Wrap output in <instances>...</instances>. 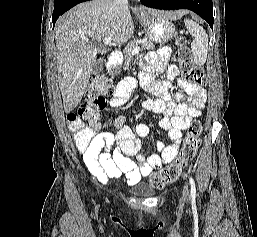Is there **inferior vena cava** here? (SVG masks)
<instances>
[{
  "label": "inferior vena cava",
  "instance_id": "inferior-vena-cava-1",
  "mask_svg": "<svg viewBox=\"0 0 257 237\" xmlns=\"http://www.w3.org/2000/svg\"><path fill=\"white\" fill-rule=\"evenodd\" d=\"M117 4L127 7L128 6V0H116Z\"/></svg>",
  "mask_w": 257,
  "mask_h": 237
}]
</instances>
